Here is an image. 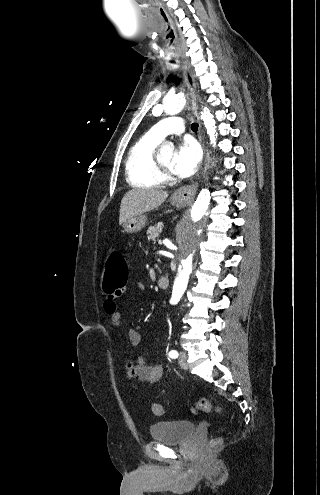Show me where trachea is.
Wrapping results in <instances>:
<instances>
[{
	"label": "trachea",
	"instance_id": "obj_1",
	"mask_svg": "<svg viewBox=\"0 0 320 495\" xmlns=\"http://www.w3.org/2000/svg\"><path fill=\"white\" fill-rule=\"evenodd\" d=\"M191 129H192L194 132H196V131L198 130V124H197V123H193V124L191 125Z\"/></svg>",
	"mask_w": 320,
	"mask_h": 495
}]
</instances>
